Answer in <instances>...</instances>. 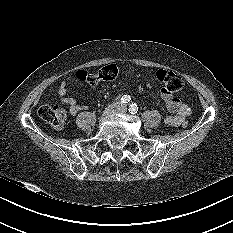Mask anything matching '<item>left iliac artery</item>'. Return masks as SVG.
<instances>
[{
    "mask_svg": "<svg viewBox=\"0 0 233 233\" xmlns=\"http://www.w3.org/2000/svg\"><path fill=\"white\" fill-rule=\"evenodd\" d=\"M129 113L131 114H136L137 111H138V106L134 103H132L130 106H129Z\"/></svg>",
    "mask_w": 233,
    "mask_h": 233,
    "instance_id": "44dca946",
    "label": "left iliac artery"
}]
</instances>
